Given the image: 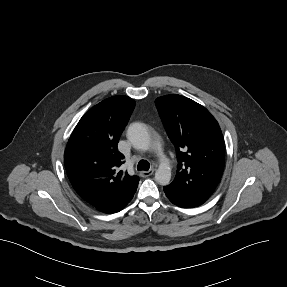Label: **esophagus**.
I'll use <instances>...</instances> for the list:
<instances>
[{
    "label": "esophagus",
    "instance_id": "1",
    "mask_svg": "<svg viewBox=\"0 0 287 287\" xmlns=\"http://www.w3.org/2000/svg\"><path fill=\"white\" fill-rule=\"evenodd\" d=\"M153 173H154V169H151V170H149V171H141V172L139 173V175H140L141 177L145 178V177L151 176Z\"/></svg>",
    "mask_w": 287,
    "mask_h": 287
}]
</instances>
